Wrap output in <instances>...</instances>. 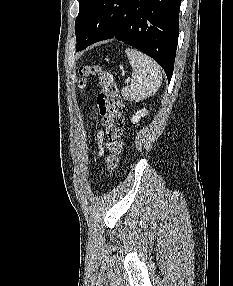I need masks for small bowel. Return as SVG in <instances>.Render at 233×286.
<instances>
[{
	"label": "small bowel",
	"instance_id": "obj_1",
	"mask_svg": "<svg viewBox=\"0 0 233 286\" xmlns=\"http://www.w3.org/2000/svg\"><path fill=\"white\" fill-rule=\"evenodd\" d=\"M102 132H99V140H101ZM100 153H102V149L100 148Z\"/></svg>",
	"mask_w": 233,
	"mask_h": 286
}]
</instances>
